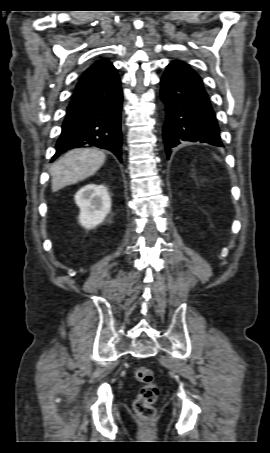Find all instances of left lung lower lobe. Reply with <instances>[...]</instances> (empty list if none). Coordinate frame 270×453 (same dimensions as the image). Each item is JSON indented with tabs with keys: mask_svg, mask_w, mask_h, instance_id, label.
I'll use <instances>...</instances> for the list:
<instances>
[{
	"mask_svg": "<svg viewBox=\"0 0 270 453\" xmlns=\"http://www.w3.org/2000/svg\"><path fill=\"white\" fill-rule=\"evenodd\" d=\"M166 104L163 135L167 158L183 142L222 147L220 129L201 77L186 63L171 62L161 80Z\"/></svg>",
	"mask_w": 270,
	"mask_h": 453,
	"instance_id": "obj_1",
	"label": "left lung lower lobe"
}]
</instances>
